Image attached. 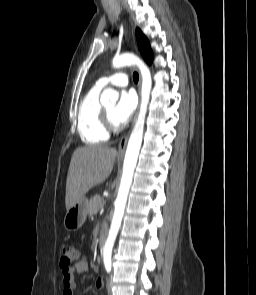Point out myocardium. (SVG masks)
<instances>
[{
    "label": "myocardium",
    "instance_id": "1",
    "mask_svg": "<svg viewBox=\"0 0 256 295\" xmlns=\"http://www.w3.org/2000/svg\"><path fill=\"white\" fill-rule=\"evenodd\" d=\"M101 117H102L103 126L108 133L109 132H116L118 130L117 125L111 119V117L105 107H102Z\"/></svg>",
    "mask_w": 256,
    "mask_h": 295
}]
</instances>
